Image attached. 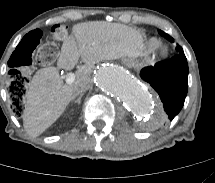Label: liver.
<instances>
[{"label": "liver", "instance_id": "6515ba94", "mask_svg": "<svg viewBox=\"0 0 215 183\" xmlns=\"http://www.w3.org/2000/svg\"><path fill=\"white\" fill-rule=\"evenodd\" d=\"M72 32L73 36L63 41L58 67L38 70L29 84L23 126L31 136L41 135L63 114L77 96L75 83L90 79L96 63L123 57L136 58L144 49L141 33L120 23L83 22L74 25ZM80 57L85 64L78 68L75 82L64 85L59 69H73Z\"/></svg>", "mask_w": 215, "mask_h": 183}]
</instances>
